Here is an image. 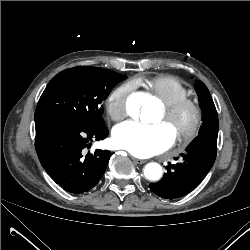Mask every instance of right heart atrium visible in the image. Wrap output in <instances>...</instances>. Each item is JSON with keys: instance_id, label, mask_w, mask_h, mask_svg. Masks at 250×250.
Listing matches in <instances>:
<instances>
[{"instance_id": "d8ad5b80", "label": "right heart atrium", "mask_w": 250, "mask_h": 250, "mask_svg": "<svg viewBox=\"0 0 250 250\" xmlns=\"http://www.w3.org/2000/svg\"><path fill=\"white\" fill-rule=\"evenodd\" d=\"M130 90L129 85L123 84L115 87L107 96L106 110L114 120H119L126 115Z\"/></svg>"}]
</instances>
